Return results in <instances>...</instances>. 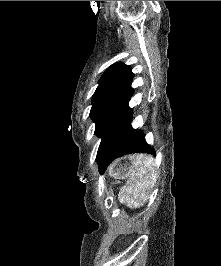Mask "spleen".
<instances>
[{
  "label": "spleen",
  "mask_w": 221,
  "mask_h": 266,
  "mask_svg": "<svg viewBox=\"0 0 221 266\" xmlns=\"http://www.w3.org/2000/svg\"><path fill=\"white\" fill-rule=\"evenodd\" d=\"M134 171L125 187V201L135 207L147 201L158 179L157 167L152 156L136 154L132 156Z\"/></svg>",
  "instance_id": "obj_1"
}]
</instances>
